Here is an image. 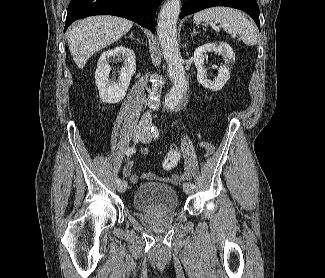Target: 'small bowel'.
<instances>
[{"label": "small bowel", "mask_w": 325, "mask_h": 278, "mask_svg": "<svg viewBox=\"0 0 325 278\" xmlns=\"http://www.w3.org/2000/svg\"><path fill=\"white\" fill-rule=\"evenodd\" d=\"M200 147L205 151V153L207 155H210L213 152V146L211 144H209L208 142H202L200 144ZM140 153L142 155H147L149 153V149L148 148H142ZM123 175L128 177L130 182L133 183V184L138 183L140 181V179L148 180V179L155 178V175H153V174L144 173L141 176H139L137 174H134L133 173V162L132 161L128 162L125 165V167L123 168ZM189 177H190L189 171H185L181 175H178V174L173 175L171 177V181L174 182V183H179V182H181L183 180L189 179Z\"/></svg>", "instance_id": "1"}]
</instances>
